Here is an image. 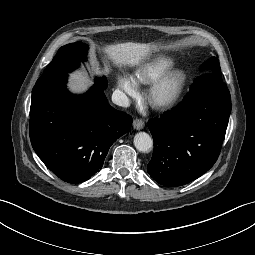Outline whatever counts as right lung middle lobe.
<instances>
[{
    "label": "right lung middle lobe",
    "instance_id": "obj_1",
    "mask_svg": "<svg viewBox=\"0 0 255 255\" xmlns=\"http://www.w3.org/2000/svg\"><path fill=\"white\" fill-rule=\"evenodd\" d=\"M87 51L88 46L81 42L67 44L61 47L52 62L44 70V74L71 72L79 66L80 61L84 60ZM95 83L102 89L107 87L105 77L96 79Z\"/></svg>",
    "mask_w": 255,
    "mask_h": 255
}]
</instances>
